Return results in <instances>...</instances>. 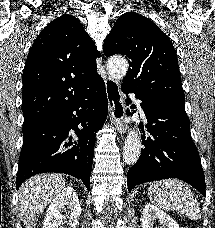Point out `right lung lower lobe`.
<instances>
[{"instance_id":"1","label":"right lung lower lobe","mask_w":215,"mask_h":228,"mask_svg":"<svg viewBox=\"0 0 215 228\" xmlns=\"http://www.w3.org/2000/svg\"><path fill=\"white\" fill-rule=\"evenodd\" d=\"M107 108L105 84L98 75L61 109L23 128L17 189L33 175L54 172L77 177L90 190L95 136L104 124ZM71 130L77 141H72Z\"/></svg>"}]
</instances>
